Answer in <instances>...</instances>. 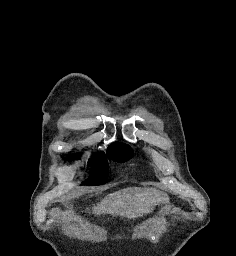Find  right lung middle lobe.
Returning a JSON list of instances; mask_svg holds the SVG:
<instances>
[{
  "mask_svg": "<svg viewBox=\"0 0 236 256\" xmlns=\"http://www.w3.org/2000/svg\"><path fill=\"white\" fill-rule=\"evenodd\" d=\"M133 156V151L126 144L115 143L107 150V157L116 162H126ZM72 157V156H71ZM104 153H97L92 156L90 163L94 166L91 177L85 182L87 185H100L107 181L108 162ZM78 158V156H74Z\"/></svg>",
  "mask_w": 236,
  "mask_h": 256,
  "instance_id": "right-lung-middle-lobe-1",
  "label": "right lung middle lobe"
}]
</instances>
